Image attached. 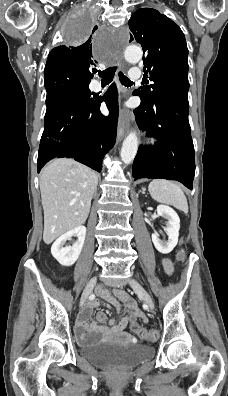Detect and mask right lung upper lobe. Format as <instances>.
<instances>
[{"mask_svg": "<svg viewBox=\"0 0 228 396\" xmlns=\"http://www.w3.org/2000/svg\"><path fill=\"white\" fill-rule=\"evenodd\" d=\"M97 61L92 55L91 37L79 46H58L48 55L44 69V76L51 74L71 73L91 80V67Z\"/></svg>", "mask_w": 228, "mask_h": 396, "instance_id": "cb5924a9", "label": "right lung upper lobe"}]
</instances>
